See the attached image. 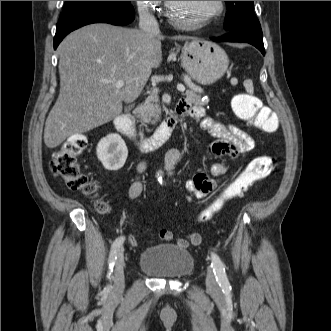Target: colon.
Listing matches in <instances>:
<instances>
[{
  "instance_id": "5ec220e1",
  "label": "colon",
  "mask_w": 331,
  "mask_h": 331,
  "mask_svg": "<svg viewBox=\"0 0 331 331\" xmlns=\"http://www.w3.org/2000/svg\"><path fill=\"white\" fill-rule=\"evenodd\" d=\"M232 109L235 115L243 122L265 132L272 133L278 129L279 121L276 113L262 105L261 101L251 93H240L232 99ZM87 146V140L82 135H73L68 138L54 153L51 169L55 176L60 178L66 187L72 191H80L86 195H95L97 184L81 169L78 157ZM272 171V159L262 155L255 157L199 216L200 221H210L233 199L243 197L258 181L266 178ZM99 211H106L104 202H97ZM185 240L193 245L201 243L199 234H190Z\"/></svg>"
}]
</instances>
